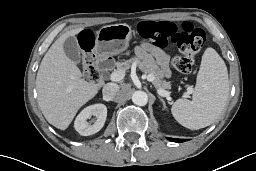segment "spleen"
<instances>
[{
	"mask_svg": "<svg viewBox=\"0 0 256 171\" xmlns=\"http://www.w3.org/2000/svg\"><path fill=\"white\" fill-rule=\"evenodd\" d=\"M229 96L228 71L213 48L202 56L192 100L178 99L171 112L175 120L188 129L211 125L224 110Z\"/></svg>",
	"mask_w": 256,
	"mask_h": 171,
	"instance_id": "3e777b00",
	"label": "spleen"
}]
</instances>
